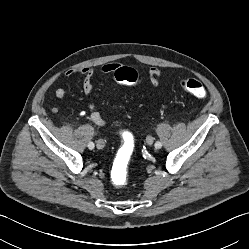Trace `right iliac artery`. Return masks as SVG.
<instances>
[{"label":"right iliac artery","mask_w":249,"mask_h":249,"mask_svg":"<svg viewBox=\"0 0 249 249\" xmlns=\"http://www.w3.org/2000/svg\"><path fill=\"white\" fill-rule=\"evenodd\" d=\"M88 148L89 149H93L94 148V143L93 142H89L88 143Z\"/></svg>","instance_id":"right-iliac-artery-1"}]
</instances>
